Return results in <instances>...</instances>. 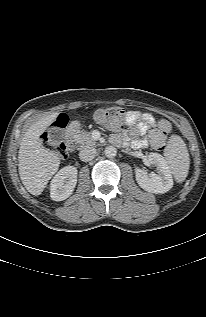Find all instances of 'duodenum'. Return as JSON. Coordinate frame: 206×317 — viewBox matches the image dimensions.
I'll list each match as a JSON object with an SVG mask.
<instances>
[{
    "label": "duodenum",
    "instance_id": "410a0bca",
    "mask_svg": "<svg viewBox=\"0 0 206 317\" xmlns=\"http://www.w3.org/2000/svg\"><path fill=\"white\" fill-rule=\"evenodd\" d=\"M81 129V123L79 121H74L69 128L65 131V140L63 145L65 148L70 149L73 147L75 142V134Z\"/></svg>",
    "mask_w": 206,
    "mask_h": 317
}]
</instances>
